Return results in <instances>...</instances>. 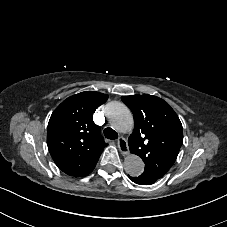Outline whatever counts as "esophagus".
<instances>
[{
    "label": "esophagus",
    "mask_w": 227,
    "mask_h": 227,
    "mask_svg": "<svg viewBox=\"0 0 227 227\" xmlns=\"http://www.w3.org/2000/svg\"><path fill=\"white\" fill-rule=\"evenodd\" d=\"M117 144H118V148L122 154H124V155L129 154L128 143L124 137H119L117 140Z\"/></svg>",
    "instance_id": "obj_1"
}]
</instances>
